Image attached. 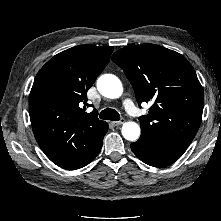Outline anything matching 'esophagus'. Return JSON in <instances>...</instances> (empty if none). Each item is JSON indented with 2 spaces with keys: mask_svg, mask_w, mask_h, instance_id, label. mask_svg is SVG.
<instances>
[{
  "mask_svg": "<svg viewBox=\"0 0 221 221\" xmlns=\"http://www.w3.org/2000/svg\"><path fill=\"white\" fill-rule=\"evenodd\" d=\"M124 122H125V120H124V119H121L120 121L112 122V124H113L114 126H120V125H122Z\"/></svg>",
  "mask_w": 221,
  "mask_h": 221,
  "instance_id": "esophagus-1",
  "label": "esophagus"
}]
</instances>
